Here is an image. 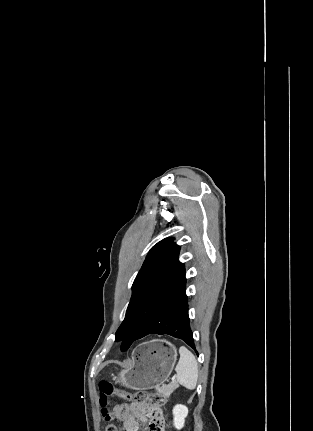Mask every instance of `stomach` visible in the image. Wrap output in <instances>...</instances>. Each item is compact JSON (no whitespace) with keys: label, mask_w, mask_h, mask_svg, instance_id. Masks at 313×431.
<instances>
[{"label":"stomach","mask_w":313,"mask_h":431,"mask_svg":"<svg viewBox=\"0 0 313 431\" xmlns=\"http://www.w3.org/2000/svg\"><path fill=\"white\" fill-rule=\"evenodd\" d=\"M177 359V350L166 340H151L138 345L132 363L114 377L119 383L133 390L159 387L170 376Z\"/></svg>","instance_id":"obj_1"}]
</instances>
